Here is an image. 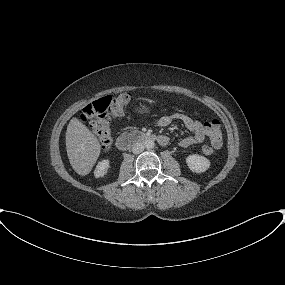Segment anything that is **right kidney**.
I'll return each mask as SVG.
<instances>
[{
  "label": "right kidney",
  "mask_w": 285,
  "mask_h": 285,
  "mask_svg": "<svg viewBox=\"0 0 285 285\" xmlns=\"http://www.w3.org/2000/svg\"><path fill=\"white\" fill-rule=\"evenodd\" d=\"M109 168H110L109 160L100 161L96 166V169L94 171V176L96 178L104 177L107 174Z\"/></svg>",
  "instance_id": "ca27d5eb"
}]
</instances>
